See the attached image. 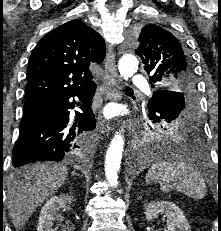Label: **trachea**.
Returning a JSON list of instances; mask_svg holds the SVG:
<instances>
[{"mask_svg":"<svg viewBox=\"0 0 221 231\" xmlns=\"http://www.w3.org/2000/svg\"><path fill=\"white\" fill-rule=\"evenodd\" d=\"M126 89L131 90V88H130V87H126Z\"/></svg>","mask_w":221,"mask_h":231,"instance_id":"1","label":"trachea"}]
</instances>
